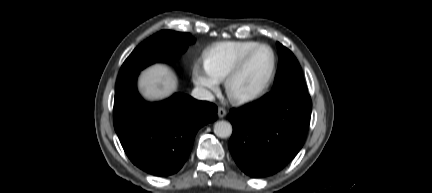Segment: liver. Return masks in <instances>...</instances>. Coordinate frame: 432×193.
<instances>
[{
  "instance_id": "obj_1",
  "label": "liver",
  "mask_w": 432,
  "mask_h": 193,
  "mask_svg": "<svg viewBox=\"0 0 432 193\" xmlns=\"http://www.w3.org/2000/svg\"><path fill=\"white\" fill-rule=\"evenodd\" d=\"M139 85L149 100L168 97L176 89L174 73L163 64H155L141 73Z\"/></svg>"
}]
</instances>
